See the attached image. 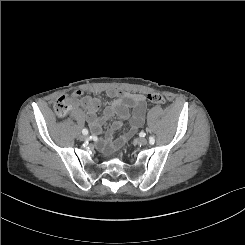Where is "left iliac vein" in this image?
I'll return each instance as SVG.
<instances>
[{
  "mask_svg": "<svg viewBox=\"0 0 245 245\" xmlns=\"http://www.w3.org/2000/svg\"><path fill=\"white\" fill-rule=\"evenodd\" d=\"M147 143H148V140L146 138L138 139V144L140 145H146Z\"/></svg>",
  "mask_w": 245,
  "mask_h": 245,
  "instance_id": "obj_1",
  "label": "left iliac vein"
}]
</instances>
